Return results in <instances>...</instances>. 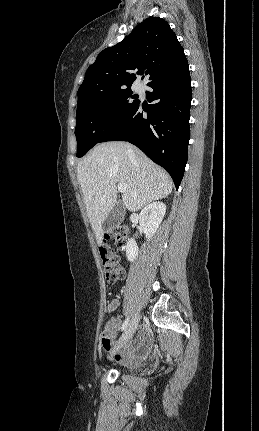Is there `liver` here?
<instances>
[{"label":"liver","instance_id":"6515ba94","mask_svg":"<svg viewBox=\"0 0 259 431\" xmlns=\"http://www.w3.org/2000/svg\"><path fill=\"white\" fill-rule=\"evenodd\" d=\"M77 178L98 245L103 242L102 224L117 202V183L127 186L121 202L131 212L167 197L173 188L164 169L137 147L121 141L96 145L79 162Z\"/></svg>","mask_w":259,"mask_h":431}]
</instances>
